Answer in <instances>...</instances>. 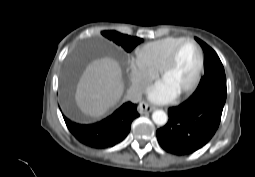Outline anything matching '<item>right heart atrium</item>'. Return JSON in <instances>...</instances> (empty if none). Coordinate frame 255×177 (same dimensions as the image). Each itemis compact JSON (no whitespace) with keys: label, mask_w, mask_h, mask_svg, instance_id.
I'll return each instance as SVG.
<instances>
[{"label":"right heart atrium","mask_w":255,"mask_h":177,"mask_svg":"<svg viewBox=\"0 0 255 177\" xmlns=\"http://www.w3.org/2000/svg\"><path fill=\"white\" fill-rule=\"evenodd\" d=\"M130 80L135 92H139L158 74V70L147 64L138 55L130 61Z\"/></svg>","instance_id":"obj_1"}]
</instances>
